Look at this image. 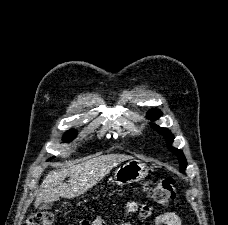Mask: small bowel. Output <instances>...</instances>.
Here are the masks:
<instances>
[{
    "instance_id": "small-bowel-1",
    "label": "small bowel",
    "mask_w": 228,
    "mask_h": 225,
    "mask_svg": "<svg viewBox=\"0 0 228 225\" xmlns=\"http://www.w3.org/2000/svg\"><path fill=\"white\" fill-rule=\"evenodd\" d=\"M128 214H136L139 211L138 203L134 200H129L125 205ZM152 214V203H145L141 210V218H149ZM80 225H104L102 217H96L92 222L81 220ZM123 225H134V222H125ZM152 225H182L181 217L172 211H167L156 215L152 220Z\"/></svg>"
}]
</instances>
